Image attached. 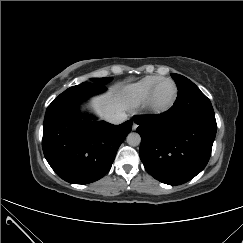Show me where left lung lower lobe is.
Masks as SVG:
<instances>
[{"mask_svg":"<svg viewBox=\"0 0 243 243\" xmlns=\"http://www.w3.org/2000/svg\"><path fill=\"white\" fill-rule=\"evenodd\" d=\"M186 92L180 91L162 114L133 117L139 125V154L146 171L168 185L183 184L205 168L217 131L215 116L184 113L181 98Z\"/></svg>","mask_w":243,"mask_h":243,"instance_id":"0a47b994","label":"left lung lower lobe"}]
</instances>
